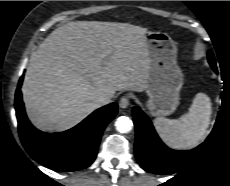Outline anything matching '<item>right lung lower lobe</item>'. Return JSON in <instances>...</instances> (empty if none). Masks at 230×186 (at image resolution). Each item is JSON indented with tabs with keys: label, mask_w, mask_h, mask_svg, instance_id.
Segmentation results:
<instances>
[{
	"label": "right lung lower lobe",
	"mask_w": 230,
	"mask_h": 186,
	"mask_svg": "<svg viewBox=\"0 0 230 186\" xmlns=\"http://www.w3.org/2000/svg\"><path fill=\"white\" fill-rule=\"evenodd\" d=\"M23 76L15 95V110L22 143L29 155L41 165L60 171H77L96 158L106 125L117 114V103L97 109L74 128L60 133H45L29 122L21 95Z\"/></svg>",
	"instance_id": "right-lung-lower-lobe-1"
}]
</instances>
